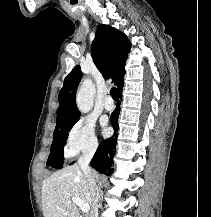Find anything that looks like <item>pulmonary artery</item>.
Returning a JSON list of instances; mask_svg holds the SVG:
<instances>
[{"label": "pulmonary artery", "mask_w": 211, "mask_h": 217, "mask_svg": "<svg viewBox=\"0 0 211 217\" xmlns=\"http://www.w3.org/2000/svg\"><path fill=\"white\" fill-rule=\"evenodd\" d=\"M104 108L107 111H112L114 109V103L113 100L110 96H107L105 101H104Z\"/></svg>", "instance_id": "e3ab8cb5"}]
</instances>
